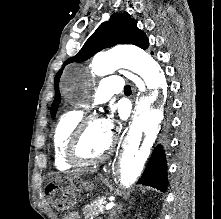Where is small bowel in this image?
Masks as SVG:
<instances>
[{
  "instance_id": "small-bowel-1",
  "label": "small bowel",
  "mask_w": 221,
  "mask_h": 219,
  "mask_svg": "<svg viewBox=\"0 0 221 219\" xmlns=\"http://www.w3.org/2000/svg\"><path fill=\"white\" fill-rule=\"evenodd\" d=\"M64 219H80V217L76 213H71V214L66 215Z\"/></svg>"
}]
</instances>
